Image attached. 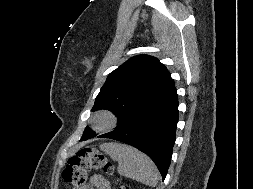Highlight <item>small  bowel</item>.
<instances>
[{
	"instance_id": "obj_1",
	"label": "small bowel",
	"mask_w": 253,
	"mask_h": 189,
	"mask_svg": "<svg viewBox=\"0 0 253 189\" xmlns=\"http://www.w3.org/2000/svg\"><path fill=\"white\" fill-rule=\"evenodd\" d=\"M85 189H110V183L101 175H93Z\"/></svg>"
}]
</instances>
